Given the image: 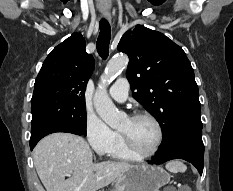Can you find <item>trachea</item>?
Returning a JSON list of instances; mask_svg holds the SVG:
<instances>
[{"instance_id": "obj_1", "label": "trachea", "mask_w": 233, "mask_h": 191, "mask_svg": "<svg viewBox=\"0 0 233 191\" xmlns=\"http://www.w3.org/2000/svg\"><path fill=\"white\" fill-rule=\"evenodd\" d=\"M111 36L110 24L106 19L100 21V33L97 40V52L102 59H106L109 54V42Z\"/></svg>"}]
</instances>
